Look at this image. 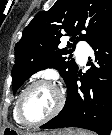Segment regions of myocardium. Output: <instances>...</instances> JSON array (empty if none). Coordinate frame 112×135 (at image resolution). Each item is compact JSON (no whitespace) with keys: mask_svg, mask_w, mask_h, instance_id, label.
Listing matches in <instances>:
<instances>
[{"mask_svg":"<svg viewBox=\"0 0 112 135\" xmlns=\"http://www.w3.org/2000/svg\"><path fill=\"white\" fill-rule=\"evenodd\" d=\"M38 85H48V86L53 87L58 94V103L56 107L52 110V112H50L47 116L37 119V120H32L28 118L24 112V98L30 89ZM64 103H65V95L62 89L56 83L48 79H37L31 82L29 85H27L20 93L17 99V116L19 120L26 126H37L57 116L62 110Z\"/></svg>","mask_w":112,"mask_h":135,"instance_id":"f54148a6","label":"myocardium"}]
</instances>
